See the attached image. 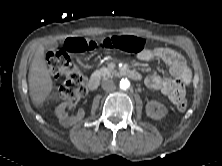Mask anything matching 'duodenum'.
I'll use <instances>...</instances> for the list:
<instances>
[{"mask_svg":"<svg viewBox=\"0 0 222 166\" xmlns=\"http://www.w3.org/2000/svg\"><path fill=\"white\" fill-rule=\"evenodd\" d=\"M121 74L124 76H127L133 80L140 79V74L136 70H133V69H123V70H121ZM99 84H100V77H99V75L94 74L87 81V88L90 91H94L98 88Z\"/></svg>","mask_w":222,"mask_h":166,"instance_id":"1","label":"duodenum"}]
</instances>
